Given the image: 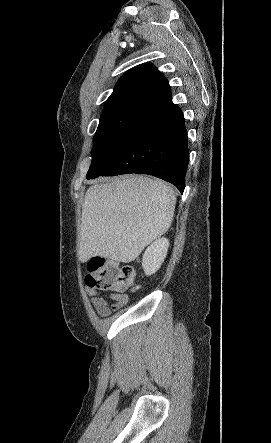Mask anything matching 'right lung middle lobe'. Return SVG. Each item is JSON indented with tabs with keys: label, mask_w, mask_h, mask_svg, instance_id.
Listing matches in <instances>:
<instances>
[{
	"label": "right lung middle lobe",
	"mask_w": 271,
	"mask_h": 443,
	"mask_svg": "<svg viewBox=\"0 0 271 443\" xmlns=\"http://www.w3.org/2000/svg\"><path fill=\"white\" fill-rule=\"evenodd\" d=\"M153 106L142 101L104 105L95 136L92 164L87 176L97 173L110 161L130 129Z\"/></svg>",
	"instance_id": "right-lung-middle-lobe-1"
}]
</instances>
